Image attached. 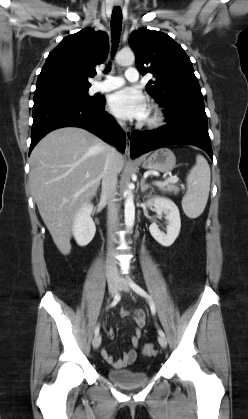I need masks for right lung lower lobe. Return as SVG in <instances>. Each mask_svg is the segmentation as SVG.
I'll list each match as a JSON object with an SVG mask.
<instances>
[{
    "instance_id": "right-lung-lower-lobe-1",
    "label": "right lung lower lobe",
    "mask_w": 248,
    "mask_h": 419,
    "mask_svg": "<svg viewBox=\"0 0 248 419\" xmlns=\"http://www.w3.org/2000/svg\"><path fill=\"white\" fill-rule=\"evenodd\" d=\"M105 99L89 103L65 97H50L34 101L30 151L50 131L66 126L87 129L108 143L125 149L123 130L113 117L104 111Z\"/></svg>"
}]
</instances>
